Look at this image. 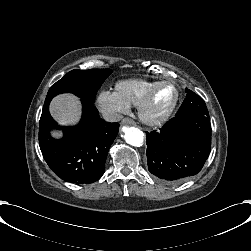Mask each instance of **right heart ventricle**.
<instances>
[{
  "mask_svg": "<svg viewBox=\"0 0 251 251\" xmlns=\"http://www.w3.org/2000/svg\"><path fill=\"white\" fill-rule=\"evenodd\" d=\"M158 79L153 77H135L118 80L115 85L117 96L129 106L137 107L149 87Z\"/></svg>",
  "mask_w": 251,
  "mask_h": 251,
  "instance_id": "obj_1",
  "label": "right heart ventricle"
}]
</instances>
